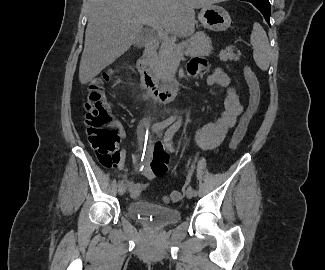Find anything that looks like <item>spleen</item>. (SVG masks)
I'll list each match as a JSON object with an SVG mask.
<instances>
[{
	"label": "spleen",
	"instance_id": "3e777b00",
	"mask_svg": "<svg viewBox=\"0 0 325 270\" xmlns=\"http://www.w3.org/2000/svg\"><path fill=\"white\" fill-rule=\"evenodd\" d=\"M250 42L254 49L253 58L257 66L263 71L268 70L271 48L265 30L257 22L253 24Z\"/></svg>",
	"mask_w": 325,
	"mask_h": 270
}]
</instances>
